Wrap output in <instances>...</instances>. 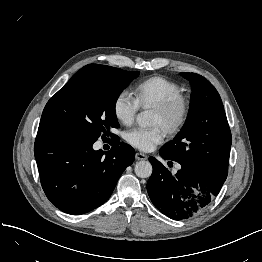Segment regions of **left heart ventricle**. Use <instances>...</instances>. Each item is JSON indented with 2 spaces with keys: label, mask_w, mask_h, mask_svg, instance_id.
Segmentation results:
<instances>
[{
  "label": "left heart ventricle",
  "mask_w": 262,
  "mask_h": 262,
  "mask_svg": "<svg viewBox=\"0 0 262 262\" xmlns=\"http://www.w3.org/2000/svg\"><path fill=\"white\" fill-rule=\"evenodd\" d=\"M164 120L163 117L154 110V115H153V124H162L163 125Z\"/></svg>",
  "instance_id": "1"
}]
</instances>
